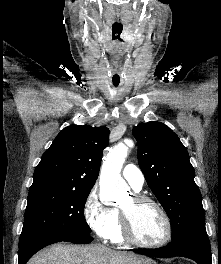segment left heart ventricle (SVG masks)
Segmentation results:
<instances>
[{
    "label": "left heart ventricle",
    "instance_id": "obj_1",
    "mask_svg": "<svg viewBox=\"0 0 221 264\" xmlns=\"http://www.w3.org/2000/svg\"><path fill=\"white\" fill-rule=\"evenodd\" d=\"M120 209L130 214L134 232L139 240L146 243H157L164 238L165 222L155 206L148 203L137 205L132 198H129Z\"/></svg>",
    "mask_w": 221,
    "mask_h": 264
}]
</instances>
